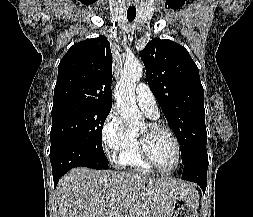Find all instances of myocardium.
Wrapping results in <instances>:
<instances>
[{"label":"myocardium","instance_id":"myocardium-1","mask_svg":"<svg viewBox=\"0 0 253 217\" xmlns=\"http://www.w3.org/2000/svg\"><path fill=\"white\" fill-rule=\"evenodd\" d=\"M159 130H164L167 131L170 136L172 137V140L174 142L175 145V151H176V160H175V164L174 166L169 169V170H164L161 169L153 160L150 151H149V147H148V139L149 136ZM138 148H139V152L140 155L142 157V159L144 160V162L150 166L154 171L163 174V175H169L174 173L181 162V146H180V142L178 139L177 134L175 133V131L168 125L163 124V123H159V122H153L150 121L147 123V129L144 132H138Z\"/></svg>","mask_w":253,"mask_h":217}]
</instances>
